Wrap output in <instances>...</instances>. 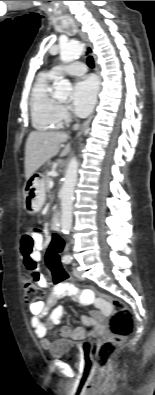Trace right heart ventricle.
I'll list each match as a JSON object with an SVG mask.
<instances>
[{"mask_svg": "<svg viewBox=\"0 0 155 395\" xmlns=\"http://www.w3.org/2000/svg\"><path fill=\"white\" fill-rule=\"evenodd\" d=\"M57 78L50 72L41 73L33 85L30 95V114L37 130H54L62 126L57 100L52 95V83Z\"/></svg>", "mask_w": 155, "mask_h": 395, "instance_id": "e07e8e85", "label": "right heart ventricle"}]
</instances>
